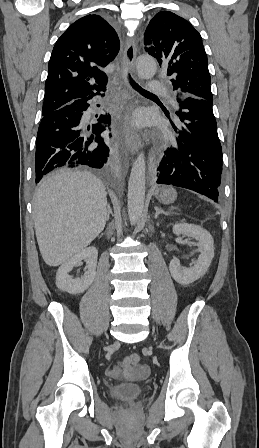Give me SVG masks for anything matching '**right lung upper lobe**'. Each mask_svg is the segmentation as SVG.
Masks as SVG:
<instances>
[{"mask_svg":"<svg viewBox=\"0 0 259 448\" xmlns=\"http://www.w3.org/2000/svg\"><path fill=\"white\" fill-rule=\"evenodd\" d=\"M119 48L117 33L101 16L90 14L75 21L53 48L42 115L105 92L108 78L102 69Z\"/></svg>","mask_w":259,"mask_h":448,"instance_id":"right-lung-upper-lobe-1","label":"right lung upper lobe"}]
</instances>
